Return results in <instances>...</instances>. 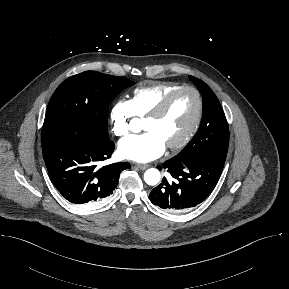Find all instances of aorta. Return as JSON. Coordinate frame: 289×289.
I'll return each mask as SVG.
<instances>
[{"instance_id": "obj_1", "label": "aorta", "mask_w": 289, "mask_h": 289, "mask_svg": "<svg viewBox=\"0 0 289 289\" xmlns=\"http://www.w3.org/2000/svg\"><path fill=\"white\" fill-rule=\"evenodd\" d=\"M160 179V172L155 168H150L144 173V180L150 186L157 185L160 182Z\"/></svg>"}]
</instances>
